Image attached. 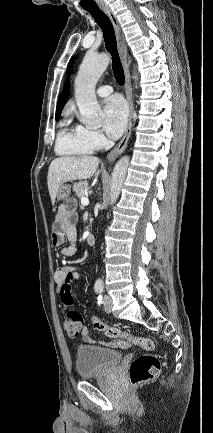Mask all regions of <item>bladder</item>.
<instances>
[{
  "label": "bladder",
  "mask_w": 213,
  "mask_h": 433,
  "mask_svg": "<svg viewBox=\"0 0 213 433\" xmlns=\"http://www.w3.org/2000/svg\"><path fill=\"white\" fill-rule=\"evenodd\" d=\"M120 351L95 346L79 345L76 349V371L80 378L91 379L109 374L122 360Z\"/></svg>",
  "instance_id": "bladder-1"
}]
</instances>
